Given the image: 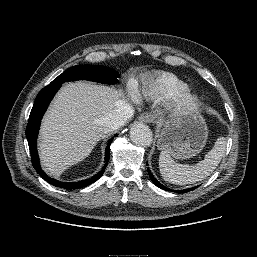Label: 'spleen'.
Instances as JSON below:
<instances>
[{
    "label": "spleen",
    "instance_id": "1",
    "mask_svg": "<svg viewBox=\"0 0 257 257\" xmlns=\"http://www.w3.org/2000/svg\"><path fill=\"white\" fill-rule=\"evenodd\" d=\"M226 139L219 137L212 150L204 160L194 166L176 163L167 150H162L159 156L160 173L165 181L185 185L196 183L208 177L218 166L225 154Z\"/></svg>",
    "mask_w": 257,
    "mask_h": 257
}]
</instances>
